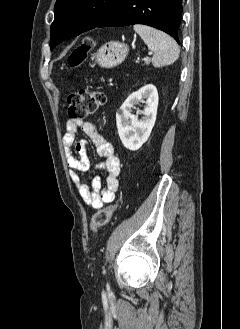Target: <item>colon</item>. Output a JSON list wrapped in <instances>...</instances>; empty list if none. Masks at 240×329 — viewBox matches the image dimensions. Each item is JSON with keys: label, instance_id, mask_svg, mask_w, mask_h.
Segmentation results:
<instances>
[{"label": "colon", "instance_id": "colon-1", "mask_svg": "<svg viewBox=\"0 0 240 329\" xmlns=\"http://www.w3.org/2000/svg\"><path fill=\"white\" fill-rule=\"evenodd\" d=\"M93 45V40L88 37L77 47L68 58V65L71 68L78 67L85 59L89 49ZM104 94L99 90H78L68 97V113L72 119H82L92 115L103 105ZM117 204L99 209L90 219V230L95 232L100 227L106 225L111 219Z\"/></svg>", "mask_w": 240, "mask_h": 329}]
</instances>
